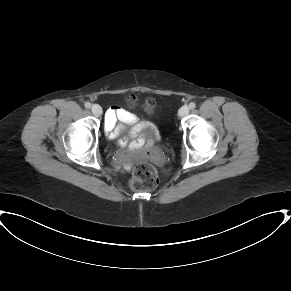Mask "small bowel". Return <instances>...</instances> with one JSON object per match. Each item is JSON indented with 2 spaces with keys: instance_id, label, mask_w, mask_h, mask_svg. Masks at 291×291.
I'll return each mask as SVG.
<instances>
[{
  "instance_id": "obj_1",
  "label": "small bowel",
  "mask_w": 291,
  "mask_h": 291,
  "mask_svg": "<svg viewBox=\"0 0 291 291\" xmlns=\"http://www.w3.org/2000/svg\"><path fill=\"white\" fill-rule=\"evenodd\" d=\"M129 118H131V114L128 111L121 107L113 106L106 112V127L107 129H113L116 127V130H118L121 126V123L126 122ZM118 121L120 122L119 124H117ZM149 144L150 141H146L144 138H140L132 144V147L141 148L143 146H148Z\"/></svg>"
}]
</instances>
